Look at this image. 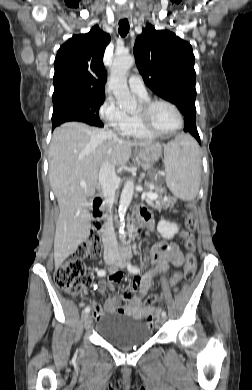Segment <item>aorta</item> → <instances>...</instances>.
Instances as JSON below:
<instances>
[{
	"mask_svg": "<svg viewBox=\"0 0 252 390\" xmlns=\"http://www.w3.org/2000/svg\"><path fill=\"white\" fill-rule=\"evenodd\" d=\"M134 62V57L131 55L116 56L112 64L108 80V88L115 96L117 104L122 110L127 112H133L137 109V101L129 91L126 77L128 70L133 66ZM133 193L134 182L133 180H127L120 196L118 209L120 217L119 235L121 240L125 239L123 221L126 211L132 201Z\"/></svg>",
	"mask_w": 252,
	"mask_h": 390,
	"instance_id": "aorta-1",
	"label": "aorta"
}]
</instances>
